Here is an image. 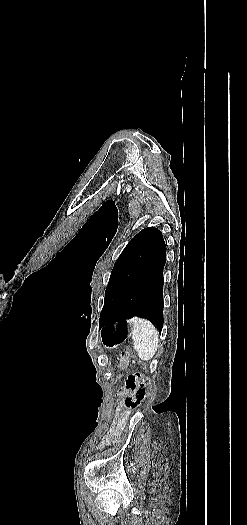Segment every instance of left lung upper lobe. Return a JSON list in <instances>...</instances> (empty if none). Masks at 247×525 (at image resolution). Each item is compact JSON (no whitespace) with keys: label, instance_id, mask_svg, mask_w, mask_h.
<instances>
[{"label":"left lung upper lobe","instance_id":"1","mask_svg":"<svg viewBox=\"0 0 247 525\" xmlns=\"http://www.w3.org/2000/svg\"><path fill=\"white\" fill-rule=\"evenodd\" d=\"M163 241L162 233L158 229L148 227L140 231L127 244L111 272L105 292L104 306L100 314V325L108 310L146 270Z\"/></svg>","mask_w":247,"mask_h":525}]
</instances>
